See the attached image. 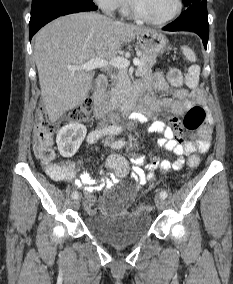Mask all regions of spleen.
<instances>
[{"mask_svg": "<svg viewBox=\"0 0 233 284\" xmlns=\"http://www.w3.org/2000/svg\"><path fill=\"white\" fill-rule=\"evenodd\" d=\"M183 54L190 62H195L197 60L196 55L192 49L183 46L182 47ZM200 76V67L198 65H192L188 69V75L185 79L186 85L190 88H196L199 83Z\"/></svg>", "mask_w": 233, "mask_h": 284, "instance_id": "obj_1", "label": "spleen"}]
</instances>
